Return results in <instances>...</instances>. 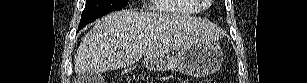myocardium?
<instances>
[{"label":"myocardium","instance_id":"obj_1","mask_svg":"<svg viewBox=\"0 0 307 83\" xmlns=\"http://www.w3.org/2000/svg\"><path fill=\"white\" fill-rule=\"evenodd\" d=\"M196 1L204 2L205 0H196Z\"/></svg>","mask_w":307,"mask_h":83}]
</instances>
